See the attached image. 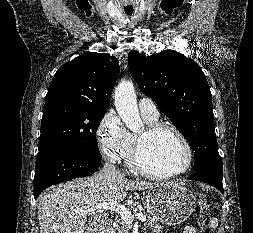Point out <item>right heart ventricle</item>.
Segmentation results:
<instances>
[{"label":"right heart ventricle","instance_id":"1","mask_svg":"<svg viewBox=\"0 0 253 233\" xmlns=\"http://www.w3.org/2000/svg\"><path fill=\"white\" fill-rule=\"evenodd\" d=\"M144 119L148 124L156 122V119H150V118H146V117H144ZM135 141H136V135L130 134V144L123 156V158L125 159L126 165L132 170H135V168L133 166V162H132V154H133V150H134V146H135Z\"/></svg>","mask_w":253,"mask_h":233}]
</instances>
